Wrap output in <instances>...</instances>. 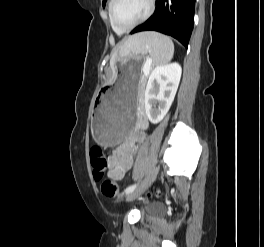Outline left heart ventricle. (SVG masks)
Instances as JSON below:
<instances>
[{"label": "left heart ventricle", "mask_w": 264, "mask_h": 247, "mask_svg": "<svg viewBox=\"0 0 264 247\" xmlns=\"http://www.w3.org/2000/svg\"><path fill=\"white\" fill-rule=\"evenodd\" d=\"M148 9V0H119L115 17L119 25L128 26L142 18Z\"/></svg>", "instance_id": "1"}]
</instances>
